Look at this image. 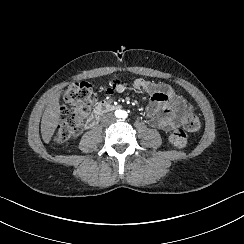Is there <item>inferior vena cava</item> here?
Returning a JSON list of instances; mask_svg holds the SVG:
<instances>
[{"label": "inferior vena cava", "instance_id": "obj_1", "mask_svg": "<svg viewBox=\"0 0 244 244\" xmlns=\"http://www.w3.org/2000/svg\"><path fill=\"white\" fill-rule=\"evenodd\" d=\"M112 120H115V116L114 115H111V114H106L103 116L102 118V121L101 122H108V121H112Z\"/></svg>", "mask_w": 244, "mask_h": 244}]
</instances>
